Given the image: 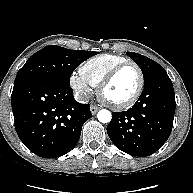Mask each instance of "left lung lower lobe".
Instances as JSON below:
<instances>
[{"label": "left lung lower lobe", "instance_id": "obj_1", "mask_svg": "<svg viewBox=\"0 0 193 193\" xmlns=\"http://www.w3.org/2000/svg\"><path fill=\"white\" fill-rule=\"evenodd\" d=\"M175 107L173 85L165 71L144 85L132 108L112 113L107 133L121 151L132 156H149L169 138Z\"/></svg>", "mask_w": 193, "mask_h": 193}]
</instances>
